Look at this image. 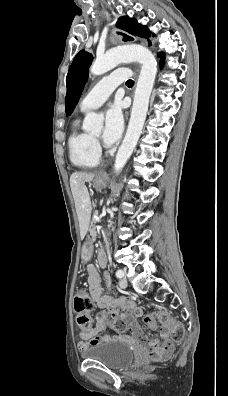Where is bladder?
Masks as SVG:
<instances>
[{
  "mask_svg": "<svg viewBox=\"0 0 228 396\" xmlns=\"http://www.w3.org/2000/svg\"><path fill=\"white\" fill-rule=\"evenodd\" d=\"M80 355L84 359L96 360L113 369L128 367L133 359L134 353L130 346L120 340H108L84 347Z\"/></svg>",
  "mask_w": 228,
  "mask_h": 396,
  "instance_id": "1",
  "label": "bladder"
}]
</instances>
